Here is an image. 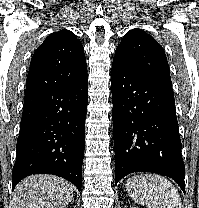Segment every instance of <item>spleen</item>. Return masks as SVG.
I'll use <instances>...</instances> for the list:
<instances>
[{
    "instance_id": "obj_1",
    "label": "spleen",
    "mask_w": 199,
    "mask_h": 208,
    "mask_svg": "<svg viewBox=\"0 0 199 208\" xmlns=\"http://www.w3.org/2000/svg\"><path fill=\"white\" fill-rule=\"evenodd\" d=\"M126 190L136 203L147 208H182L178 190L160 175L143 174L129 178Z\"/></svg>"
}]
</instances>
